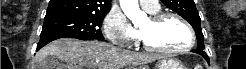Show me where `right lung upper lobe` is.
I'll return each mask as SVG.
<instances>
[{
  "mask_svg": "<svg viewBox=\"0 0 246 69\" xmlns=\"http://www.w3.org/2000/svg\"><path fill=\"white\" fill-rule=\"evenodd\" d=\"M111 0H50L47 17L59 15H106Z\"/></svg>",
  "mask_w": 246,
  "mask_h": 69,
  "instance_id": "1",
  "label": "right lung upper lobe"
}]
</instances>
